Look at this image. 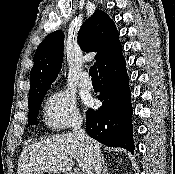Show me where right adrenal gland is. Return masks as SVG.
<instances>
[{
    "label": "right adrenal gland",
    "mask_w": 175,
    "mask_h": 174,
    "mask_svg": "<svg viewBox=\"0 0 175 174\" xmlns=\"http://www.w3.org/2000/svg\"><path fill=\"white\" fill-rule=\"evenodd\" d=\"M108 172V167L107 165L105 164V161L104 159L102 160V174H107Z\"/></svg>",
    "instance_id": "right-adrenal-gland-1"
}]
</instances>
